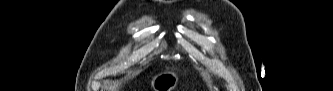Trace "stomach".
<instances>
[{
	"label": "stomach",
	"instance_id": "1",
	"mask_svg": "<svg viewBox=\"0 0 333 91\" xmlns=\"http://www.w3.org/2000/svg\"><path fill=\"white\" fill-rule=\"evenodd\" d=\"M179 81L177 74L173 71H164L151 80L150 86L153 91H172Z\"/></svg>",
	"mask_w": 333,
	"mask_h": 91
}]
</instances>
